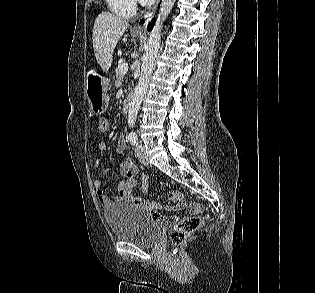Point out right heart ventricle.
Instances as JSON below:
<instances>
[{"instance_id":"right-heart-ventricle-1","label":"right heart ventricle","mask_w":315,"mask_h":293,"mask_svg":"<svg viewBox=\"0 0 315 293\" xmlns=\"http://www.w3.org/2000/svg\"><path fill=\"white\" fill-rule=\"evenodd\" d=\"M105 2L109 10L120 18L128 19L136 13L134 0H105Z\"/></svg>"}]
</instances>
